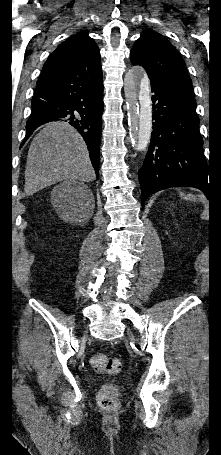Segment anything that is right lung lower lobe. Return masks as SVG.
Here are the masks:
<instances>
[{
    "mask_svg": "<svg viewBox=\"0 0 221 455\" xmlns=\"http://www.w3.org/2000/svg\"><path fill=\"white\" fill-rule=\"evenodd\" d=\"M26 137L50 121H64L82 135L91 163L99 176L103 113V79L100 56L87 58L37 82Z\"/></svg>",
    "mask_w": 221,
    "mask_h": 455,
    "instance_id": "1",
    "label": "right lung lower lobe"
}]
</instances>
